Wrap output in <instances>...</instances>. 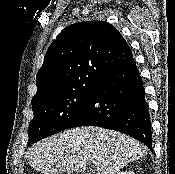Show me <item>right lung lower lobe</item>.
Segmentation results:
<instances>
[{
	"label": "right lung lower lobe",
	"mask_w": 175,
	"mask_h": 174,
	"mask_svg": "<svg viewBox=\"0 0 175 174\" xmlns=\"http://www.w3.org/2000/svg\"><path fill=\"white\" fill-rule=\"evenodd\" d=\"M80 126L120 131L152 151L151 121L144 86L133 59L109 71L95 84L83 109L68 128Z\"/></svg>",
	"instance_id": "98d812e1"
}]
</instances>
